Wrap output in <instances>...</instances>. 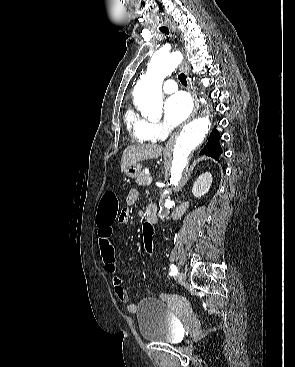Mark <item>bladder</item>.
I'll return each instance as SVG.
<instances>
[{
	"mask_svg": "<svg viewBox=\"0 0 295 367\" xmlns=\"http://www.w3.org/2000/svg\"><path fill=\"white\" fill-rule=\"evenodd\" d=\"M136 315L140 335L145 341L169 344L180 342V325L163 301L156 298L142 299Z\"/></svg>",
	"mask_w": 295,
	"mask_h": 367,
	"instance_id": "1",
	"label": "bladder"
}]
</instances>
